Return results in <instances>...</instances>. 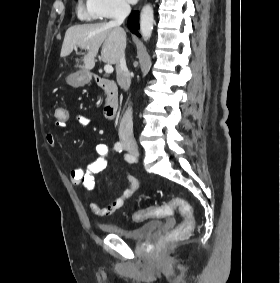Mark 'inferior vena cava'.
I'll use <instances>...</instances> for the list:
<instances>
[{"instance_id": "obj_1", "label": "inferior vena cava", "mask_w": 280, "mask_h": 283, "mask_svg": "<svg viewBox=\"0 0 280 283\" xmlns=\"http://www.w3.org/2000/svg\"><path fill=\"white\" fill-rule=\"evenodd\" d=\"M131 7L126 2H121L117 6L115 17L110 22L111 26L120 27L125 18L130 14ZM116 76L119 86L127 91L131 84L130 74L126 65L125 51H122L116 64ZM132 107L129 106L125 111L119 126V139L125 147L135 146L136 142L133 135Z\"/></svg>"}]
</instances>
